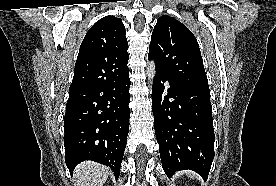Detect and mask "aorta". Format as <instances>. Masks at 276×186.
Wrapping results in <instances>:
<instances>
[{"label":"aorta","instance_id":"obj_1","mask_svg":"<svg viewBox=\"0 0 276 186\" xmlns=\"http://www.w3.org/2000/svg\"><path fill=\"white\" fill-rule=\"evenodd\" d=\"M146 74H147L148 80L152 82L156 74V66L154 61H151L149 63L148 67L146 68Z\"/></svg>","mask_w":276,"mask_h":186}]
</instances>
